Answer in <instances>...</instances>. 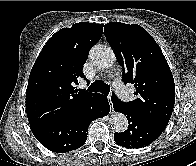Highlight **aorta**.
Returning <instances> with one entry per match:
<instances>
[{
	"mask_svg": "<svg viewBox=\"0 0 196 166\" xmlns=\"http://www.w3.org/2000/svg\"><path fill=\"white\" fill-rule=\"evenodd\" d=\"M92 63L99 68H109L115 62V54L111 47L106 45H96L90 51ZM109 123L115 132H124L128 127L126 116L120 112L110 116Z\"/></svg>",
	"mask_w": 196,
	"mask_h": 166,
	"instance_id": "1",
	"label": "aorta"
}]
</instances>
